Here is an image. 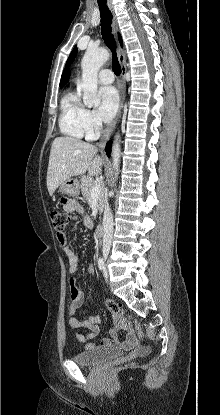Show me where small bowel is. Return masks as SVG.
<instances>
[{
	"label": "small bowel",
	"mask_w": 220,
	"mask_h": 415,
	"mask_svg": "<svg viewBox=\"0 0 220 415\" xmlns=\"http://www.w3.org/2000/svg\"><path fill=\"white\" fill-rule=\"evenodd\" d=\"M65 209L68 212L74 214V219H77V215L81 216L85 226L91 227L93 225L92 220L89 217L83 215L82 207L77 202H71L69 204H66ZM57 239L64 246V252L68 260L69 273L71 275L76 274L79 270V258L74 249L70 246L66 233L63 232L62 234H57ZM88 273H94V268L92 266L88 268ZM69 295V325L72 329H87V334L77 333L76 338L79 342L84 343L87 349L93 348L95 347V344L91 340L97 337L99 334V323L101 317L99 314H94L87 319H78L77 317H75L76 312L79 310L83 303V294L81 290L78 288L77 283L73 278L70 280ZM118 325L124 328L127 327V325L124 322H119ZM133 345L134 338L129 332L126 339H124L123 341L119 339H106L101 342V347L110 350L128 349L133 347Z\"/></svg>",
	"instance_id": "small-bowel-1"
}]
</instances>
